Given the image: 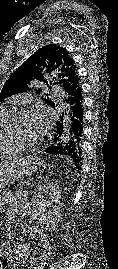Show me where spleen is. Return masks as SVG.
Instances as JSON below:
<instances>
[{"mask_svg": "<svg viewBox=\"0 0 118 269\" xmlns=\"http://www.w3.org/2000/svg\"><path fill=\"white\" fill-rule=\"evenodd\" d=\"M50 167H54V165L49 166V168H50Z\"/></svg>", "mask_w": 118, "mask_h": 269, "instance_id": "1", "label": "spleen"}]
</instances>
